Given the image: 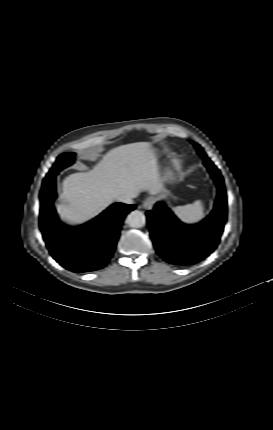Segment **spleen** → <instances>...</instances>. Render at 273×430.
<instances>
[{"instance_id": "3e777b00", "label": "spleen", "mask_w": 273, "mask_h": 430, "mask_svg": "<svg viewBox=\"0 0 273 430\" xmlns=\"http://www.w3.org/2000/svg\"><path fill=\"white\" fill-rule=\"evenodd\" d=\"M176 216L185 224H195L204 216V206L201 200L192 204L177 206L173 208Z\"/></svg>"}]
</instances>
